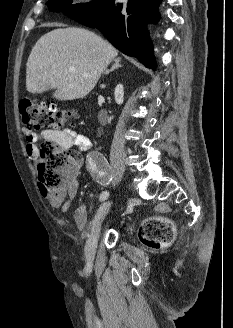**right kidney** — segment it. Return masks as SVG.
I'll return each mask as SVG.
<instances>
[{
  "label": "right kidney",
  "instance_id": "right-kidney-1",
  "mask_svg": "<svg viewBox=\"0 0 233 328\" xmlns=\"http://www.w3.org/2000/svg\"><path fill=\"white\" fill-rule=\"evenodd\" d=\"M114 97L117 104L121 105L124 100V89L123 85L118 84L114 91Z\"/></svg>",
  "mask_w": 233,
  "mask_h": 328
}]
</instances>
